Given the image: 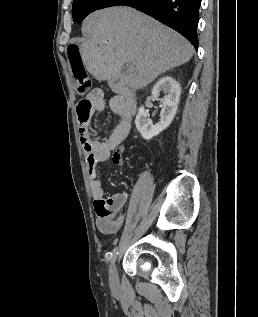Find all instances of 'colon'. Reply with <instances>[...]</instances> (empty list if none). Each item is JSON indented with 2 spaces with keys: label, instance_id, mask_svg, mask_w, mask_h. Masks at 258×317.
Returning a JSON list of instances; mask_svg holds the SVG:
<instances>
[{
  "label": "colon",
  "instance_id": "5ec220e1",
  "mask_svg": "<svg viewBox=\"0 0 258 317\" xmlns=\"http://www.w3.org/2000/svg\"><path fill=\"white\" fill-rule=\"evenodd\" d=\"M67 56L75 79L77 92L84 96L90 91L92 82L84 65L79 46L75 43L70 44L67 49ZM114 156L118 160L122 159V149H117Z\"/></svg>",
  "mask_w": 258,
  "mask_h": 317
}]
</instances>
